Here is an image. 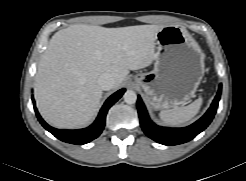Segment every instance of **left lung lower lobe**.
<instances>
[{
    "mask_svg": "<svg viewBox=\"0 0 246 181\" xmlns=\"http://www.w3.org/2000/svg\"><path fill=\"white\" fill-rule=\"evenodd\" d=\"M221 96V85L217 95L212 102L208 111L199 120L190 126L184 128H167L154 124L147 113V110L140 98L138 97L137 107L140 118V125L144 133L154 141L163 145H178L192 140L202 132L213 120L216 113L218 102Z\"/></svg>",
    "mask_w": 246,
    "mask_h": 181,
    "instance_id": "obj_1",
    "label": "left lung lower lobe"
}]
</instances>
